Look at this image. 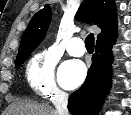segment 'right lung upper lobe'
Returning a JSON list of instances; mask_svg holds the SVG:
<instances>
[{
  "label": "right lung upper lobe",
  "mask_w": 131,
  "mask_h": 115,
  "mask_svg": "<svg viewBox=\"0 0 131 115\" xmlns=\"http://www.w3.org/2000/svg\"><path fill=\"white\" fill-rule=\"evenodd\" d=\"M51 15V8L46 6L32 17L22 36L17 56L35 49L43 40ZM76 19L88 24L94 23L101 28L97 43L116 37L117 13L114 0H84L77 11Z\"/></svg>",
  "instance_id": "right-lung-upper-lobe-1"
}]
</instances>
